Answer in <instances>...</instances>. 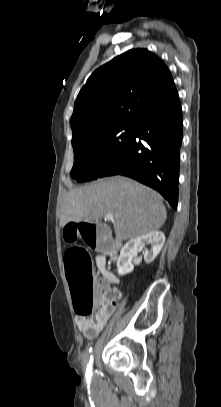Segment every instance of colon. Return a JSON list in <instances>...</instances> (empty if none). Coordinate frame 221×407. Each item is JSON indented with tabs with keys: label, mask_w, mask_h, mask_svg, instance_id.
I'll use <instances>...</instances> for the list:
<instances>
[{
	"label": "colon",
	"mask_w": 221,
	"mask_h": 407,
	"mask_svg": "<svg viewBox=\"0 0 221 407\" xmlns=\"http://www.w3.org/2000/svg\"><path fill=\"white\" fill-rule=\"evenodd\" d=\"M84 239L85 246L97 249L98 255H111L114 237L106 222L94 220H69L66 230H61V239ZM65 271L73 297L75 311L88 317L103 303H114L111 294L101 291L93 274L89 253L82 247H72L65 255Z\"/></svg>",
	"instance_id": "colon-1"
}]
</instances>
